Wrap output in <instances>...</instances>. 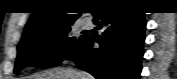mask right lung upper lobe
Segmentation results:
<instances>
[{
	"label": "right lung upper lobe",
	"mask_w": 177,
	"mask_h": 79,
	"mask_svg": "<svg viewBox=\"0 0 177 79\" xmlns=\"http://www.w3.org/2000/svg\"><path fill=\"white\" fill-rule=\"evenodd\" d=\"M71 2V0L38 1L34 6L28 23L25 26L23 37H26L41 29L74 23L80 14L68 13L70 10L74 9ZM102 7L103 6L93 7L92 14L95 15Z\"/></svg>",
	"instance_id": "1"
}]
</instances>
